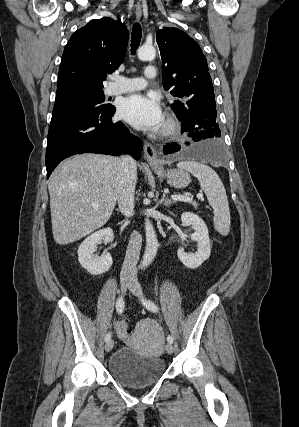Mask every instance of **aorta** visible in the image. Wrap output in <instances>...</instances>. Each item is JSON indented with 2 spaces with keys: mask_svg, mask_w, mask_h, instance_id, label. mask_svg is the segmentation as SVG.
<instances>
[{
  "mask_svg": "<svg viewBox=\"0 0 299 427\" xmlns=\"http://www.w3.org/2000/svg\"><path fill=\"white\" fill-rule=\"evenodd\" d=\"M156 50L153 46L143 45L138 50V58L142 61H151L155 58ZM146 248L141 265L148 266L155 258L158 249V240L149 218L145 219Z\"/></svg>",
  "mask_w": 299,
  "mask_h": 427,
  "instance_id": "aorta-1",
  "label": "aorta"
}]
</instances>
